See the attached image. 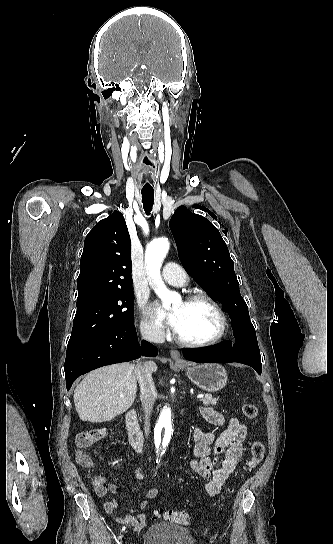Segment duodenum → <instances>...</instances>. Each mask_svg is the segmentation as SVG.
I'll use <instances>...</instances> for the list:
<instances>
[{"mask_svg": "<svg viewBox=\"0 0 333 544\" xmlns=\"http://www.w3.org/2000/svg\"><path fill=\"white\" fill-rule=\"evenodd\" d=\"M126 428L131 446L137 452H142L144 449V436L140 429L135 410H130L126 414Z\"/></svg>", "mask_w": 333, "mask_h": 544, "instance_id": "410a0bca", "label": "duodenum"}]
</instances>
